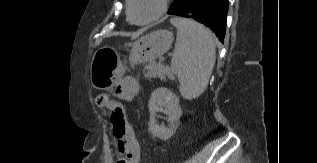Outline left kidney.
Here are the masks:
<instances>
[{"label": "left kidney", "mask_w": 317, "mask_h": 163, "mask_svg": "<svg viewBox=\"0 0 317 163\" xmlns=\"http://www.w3.org/2000/svg\"><path fill=\"white\" fill-rule=\"evenodd\" d=\"M148 108L150 112L148 124L150 132L162 140L169 139L176 132L182 115L179 98L166 88H157L151 94ZM157 112H164L168 115L170 123L168 128L157 124L155 119Z\"/></svg>", "instance_id": "left-kidney-1"}]
</instances>
